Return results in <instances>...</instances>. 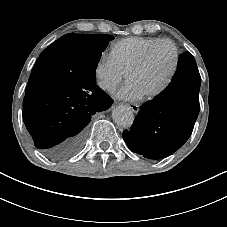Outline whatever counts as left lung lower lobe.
Wrapping results in <instances>:
<instances>
[{
    "label": "left lung lower lobe",
    "mask_w": 227,
    "mask_h": 227,
    "mask_svg": "<svg viewBox=\"0 0 227 227\" xmlns=\"http://www.w3.org/2000/svg\"><path fill=\"white\" fill-rule=\"evenodd\" d=\"M201 78L194 57L180 55L167 88L144 103L130 130L123 132L129 149L149 159L173 154L190 137L198 117Z\"/></svg>",
    "instance_id": "0a47b994"
}]
</instances>
